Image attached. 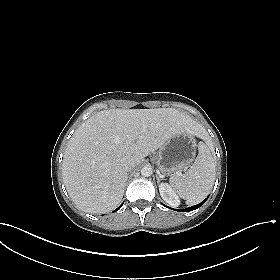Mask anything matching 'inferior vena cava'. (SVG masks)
Instances as JSON below:
<instances>
[{"label": "inferior vena cava", "instance_id": "obj_1", "mask_svg": "<svg viewBox=\"0 0 280 280\" xmlns=\"http://www.w3.org/2000/svg\"><path fill=\"white\" fill-rule=\"evenodd\" d=\"M124 169L126 171H130L131 169H133L136 166V162L135 159L131 156H127L123 159L122 162Z\"/></svg>", "mask_w": 280, "mask_h": 280}]
</instances>
